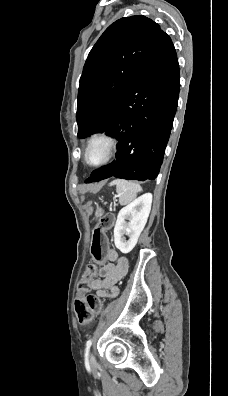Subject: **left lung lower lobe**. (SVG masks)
Listing matches in <instances>:
<instances>
[{"mask_svg":"<svg viewBox=\"0 0 228 396\" xmlns=\"http://www.w3.org/2000/svg\"><path fill=\"white\" fill-rule=\"evenodd\" d=\"M179 89L175 48L170 37L161 31L105 130L107 135L119 141L116 161L93 171L85 183L112 176L154 180L172 129Z\"/></svg>","mask_w":228,"mask_h":396,"instance_id":"0a47b994","label":"left lung lower lobe"}]
</instances>
